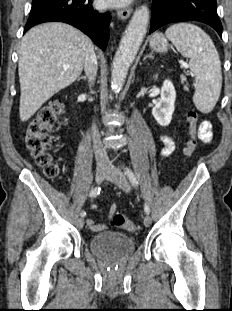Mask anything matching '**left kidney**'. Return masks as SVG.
Masks as SVG:
<instances>
[{
  "label": "left kidney",
  "instance_id": "left-kidney-1",
  "mask_svg": "<svg viewBox=\"0 0 232 311\" xmlns=\"http://www.w3.org/2000/svg\"><path fill=\"white\" fill-rule=\"evenodd\" d=\"M161 97L152 109V115L161 126H168L175 109L176 91L170 80H165L161 88Z\"/></svg>",
  "mask_w": 232,
  "mask_h": 311
}]
</instances>
